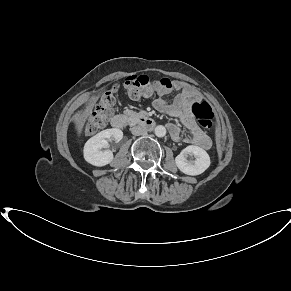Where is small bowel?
Listing matches in <instances>:
<instances>
[{
    "label": "small bowel",
    "mask_w": 291,
    "mask_h": 291,
    "mask_svg": "<svg viewBox=\"0 0 291 291\" xmlns=\"http://www.w3.org/2000/svg\"><path fill=\"white\" fill-rule=\"evenodd\" d=\"M164 80L168 82V86L157 92L153 105L158 111L180 117L181 123L186 129V133L182 135V130L179 125L168 124L167 127L172 139L179 141L183 137L184 141L189 144H193L202 149H209L211 147L210 138L197 126L188 110L189 105L196 98L195 92L183 81ZM172 91H178L179 94L172 102H168L164 97Z\"/></svg>",
    "instance_id": "obj_1"
}]
</instances>
